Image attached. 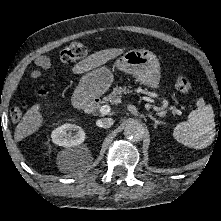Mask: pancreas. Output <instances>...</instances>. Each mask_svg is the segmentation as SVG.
<instances>
[{"label": "pancreas", "instance_id": "1", "mask_svg": "<svg viewBox=\"0 0 221 221\" xmlns=\"http://www.w3.org/2000/svg\"><path fill=\"white\" fill-rule=\"evenodd\" d=\"M138 89H140L146 95H151V92L147 91V89H144V90L141 88H138ZM131 92L132 90L126 88L125 86L124 87L116 86L110 94H108L107 96L103 98L102 103L116 104L121 100V97L124 94L131 93Z\"/></svg>", "mask_w": 221, "mask_h": 221}]
</instances>
